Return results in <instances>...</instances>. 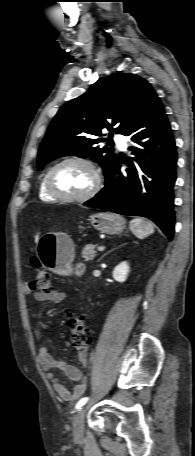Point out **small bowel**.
I'll use <instances>...</instances> for the list:
<instances>
[{
	"instance_id": "small-bowel-1",
	"label": "small bowel",
	"mask_w": 195,
	"mask_h": 456,
	"mask_svg": "<svg viewBox=\"0 0 195 456\" xmlns=\"http://www.w3.org/2000/svg\"><path fill=\"white\" fill-rule=\"evenodd\" d=\"M23 291L25 294H30L32 292V288L29 285H24ZM33 296L37 301H51L54 303H61L66 298V294L59 291H51L49 293L36 291L33 293ZM38 334L40 337H44L45 335V333L40 330L38 331ZM39 359L41 366L50 379L55 392L62 400L72 401L84 394L89 379L77 367L54 357L46 346L40 347ZM82 362L84 365H87V360ZM55 370L62 371L69 379L76 382V385L72 391L65 385L63 381L54 375Z\"/></svg>"
}]
</instances>
